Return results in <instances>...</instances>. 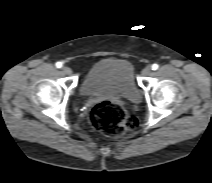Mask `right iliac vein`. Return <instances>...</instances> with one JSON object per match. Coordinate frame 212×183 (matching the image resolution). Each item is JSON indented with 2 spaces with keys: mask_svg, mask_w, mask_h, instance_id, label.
Masks as SVG:
<instances>
[{
  "mask_svg": "<svg viewBox=\"0 0 212 183\" xmlns=\"http://www.w3.org/2000/svg\"><path fill=\"white\" fill-rule=\"evenodd\" d=\"M62 71L67 75H70L72 73V70L68 66H64L62 68Z\"/></svg>",
  "mask_w": 212,
  "mask_h": 183,
  "instance_id": "1",
  "label": "right iliac vein"
}]
</instances>
